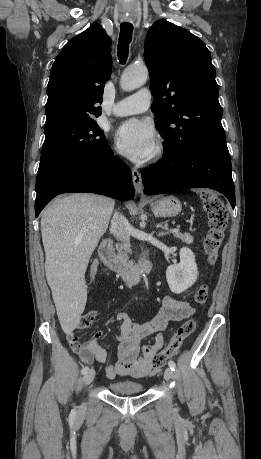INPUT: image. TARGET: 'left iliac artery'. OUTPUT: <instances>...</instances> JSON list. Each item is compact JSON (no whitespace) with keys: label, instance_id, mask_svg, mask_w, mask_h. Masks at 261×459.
<instances>
[{"label":"left iliac artery","instance_id":"obj_1","mask_svg":"<svg viewBox=\"0 0 261 459\" xmlns=\"http://www.w3.org/2000/svg\"><path fill=\"white\" fill-rule=\"evenodd\" d=\"M168 366L170 367V369H171L172 371H175L176 364H175L174 361L170 360V361L168 362Z\"/></svg>","mask_w":261,"mask_h":459}]
</instances>
